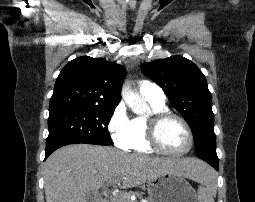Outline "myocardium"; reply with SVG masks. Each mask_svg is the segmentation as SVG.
I'll return each mask as SVG.
<instances>
[{
	"mask_svg": "<svg viewBox=\"0 0 255 202\" xmlns=\"http://www.w3.org/2000/svg\"><path fill=\"white\" fill-rule=\"evenodd\" d=\"M169 119H175L179 121L186 129L189 141L188 146L183 151L180 152L168 151L161 145L159 141V129L161 125ZM146 139L149 146L154 151L168 156H183L192 149L194 144V135L189 123L180 115L167 110L154 112L148 116L146 121Z\"/></svg>",
	"mask_w": 255,
	"mask_h": 202,
	"instance_id": "1",
	"label": "myocardium"
}]
</instances>
